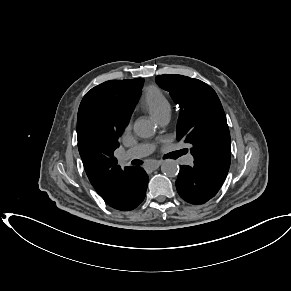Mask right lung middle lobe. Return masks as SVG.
<instances>
[{
  "label": "right lung middle lobe",
  "mask_w": 291,
  "mask_h": 291,
  "mask_svg": "<svg viewBox=\"0 0 291 291\" xmlns=\"http://www.w3.org/2000/svg\"><path fill=\"white\" fill-rule=\"evenodd\" d=\"M126 117L123 113L118 108L109 106L106 109V114H105V127L108 131V133L118 139L119 136L122 134L123 129L126 124Z\"/></svg>",
  "instance_id": "obj_1"
}]
</instances>
